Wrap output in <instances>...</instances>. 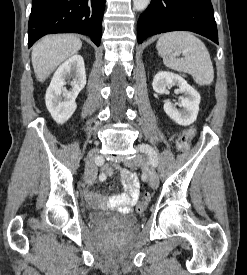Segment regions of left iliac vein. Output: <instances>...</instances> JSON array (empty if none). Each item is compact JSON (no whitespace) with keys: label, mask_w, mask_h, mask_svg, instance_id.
I'll use <instances>...</instances> for the list:
<instances>
[{"label":"left iliac vein","mask_w":247,"mask_h":275,"mask_svg":"<svg viewBox=\"0 0 247 275\" xmlns=\"http://www.w3.org/2000/svg\"><path fill=\"white\" fill-rule=\"evenodd\" d=\"M146 164L145 156L142 154L136 155L134 158L125 161V165L128 167H144ZM148 174V181L152 188H156L159 183V178L156 171L153 168L146 169Z\"/></svg>","instance_id":"1"}]
</instances>
